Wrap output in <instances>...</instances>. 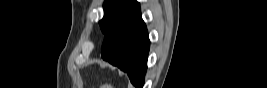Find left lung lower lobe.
<instances>
[{
	"label": "left lung lower lobe",
	"mask_w": 267,
	"mask_h": 88,
	"mask_svg": "<svg viewBox=\"0 0 267 88\" xmlns=\"http://www.w3.org/2000/svg\"><path fill=\"white\" fill-rule=\"evenodd\" d=\"M148 51L149 39L139 6L120 19L102 44V58L127 72L137 88L143 86Z\"/></svg>",
	"instance_id": "0a47b994"
}]
</instances>
